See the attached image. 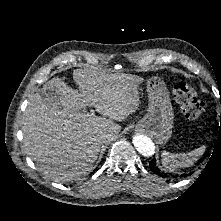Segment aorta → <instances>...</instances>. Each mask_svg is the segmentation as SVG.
<instances>
[{
	"mask_svg": "<svg viewBox=\"0 0 221 221\" xmlns=\"http://www.w3.org/2000/svg\"><path fill=\"white\" fill-rule=\"evenodd\" d=\"M132 142L136 150L144 156H152L155 153V145L152 140L145 135L133 136Z\"/></svg>",
	"mask_w": 221,
	"mask_h": 221,
	"instance_id": "obj_1",
	"label": "aorta"
}]
</instances>
